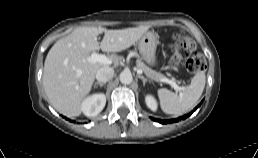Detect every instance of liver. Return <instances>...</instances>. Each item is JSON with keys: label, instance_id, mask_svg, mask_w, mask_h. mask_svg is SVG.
<instances>
[{"label": "liver", "instance_id": "6515ba94", "mask_svg": "<svg viewBox=\"0 0 258 158\" xmlns=\"http://www.w3.org/2000/svg\"><path fill=\"white\" fill-rule=\"evenodd\" d=\"M147 26L107 30L102 27H79L58 40L49 50L43 70V87L51 105L61 114L72 117L82 112L81 105L90 93L97 71L105 64L87 60L101 49L116 53L135 44ZM104 33L101 42L97 36ZM110 59L117 63L119 57Z\"/></svg>", "mask_w": 258, "mask_h": 158}]
</instances>
